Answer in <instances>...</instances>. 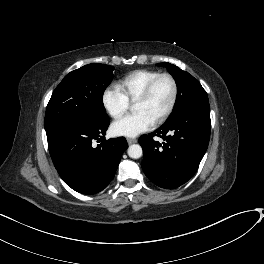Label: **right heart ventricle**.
I'll use <instances>...</instances> for the list:
<instances>
[{
	"label": "right heart ventricle",
	"mask_w": 264,
	"mask_h": 264,
	"mask_svg": "<svg viewBox=\"0 0 264 264\" xmlns=\"http://www.w3.org/2000/svg\"><path fill=\"white\" fill-rule=\"evenodd\" d=\"M158 74L155 70H135L124 76L118 87L129 101H135L149 81Z\"/></svg>",
	"instance_id": "1"
}]
</instances>
